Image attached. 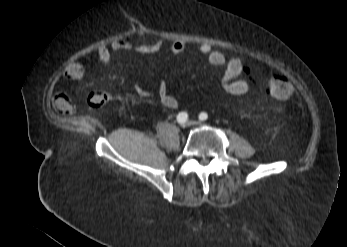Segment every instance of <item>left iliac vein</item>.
Listing matches in <instances>:
<instances>
[{"mask_svg": "<svg viewBox=\"0 0 347 247\" xmlns=\"http://www.w3.org/2000/svg\"><path fill=\"white\" fill-rule=\"evenodd\" d=\"M201 123L200 122H198V121H191L190 122V125H200Z\"/></svg>", "mask_w": 347, "mask_h": 247, "instance_id": "1", "label": "left iliac vein"}]
</instances>
